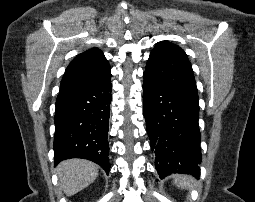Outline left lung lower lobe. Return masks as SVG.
I'll return each instance as SVG.
<instances>
[{"label": "left lung lower lobe", "instance_id": "1", "mask_svg": "<svg viewBox=\"0 0 255 202\" xmlns=\"http://www.w3.org/2000/svg\"><path fill=\"white\" fill-rule=\"evenodd\" d=\"M146 128L160 178L200 175L199 99L193 91L169 87L144 74Z\"/></svg>", "mask_w": 255, "mask_h": 202}]
</instances>
